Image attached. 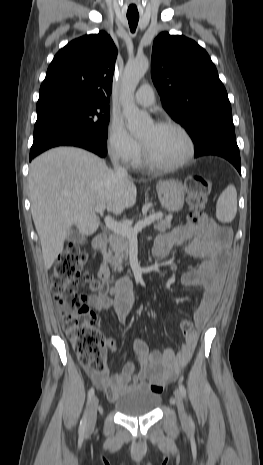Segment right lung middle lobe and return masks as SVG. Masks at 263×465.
<instances>
[{
  "mask_svg": "<svg viewBox=\"0 0 263 465\" xmlns=\"http://www.w3.org/2000/svg\"><path fill=\"white\" fill-rule=\"evenodd\" d=\"M110 114L108 103L75 97H56L37 103L34 139L62 131L90 137L106 147Z\"/></svg>",
  "mask_w": 263,
  "mask_h": 465,
  "instance_id": "obj_1",
  "label": "right lung middle lobe"
}]
</instances>
